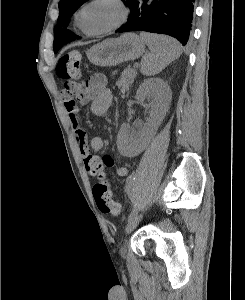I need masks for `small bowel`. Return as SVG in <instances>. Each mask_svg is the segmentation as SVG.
Here are the masks:
<instances>
[{
    "label": "small bowel",
    "mask_w": 245,
    "mask_h": 300,
    "mask_svg": "<svg viewBox=\"0 0 245 300\" xmlns=\"http://www.w3.org/2000/svg\"><path fill=\"white\" fill-rule=\"evenodd\" d=\"M77 98L81 104L91 102V111L97 116L104 115L113 104V94L108 87L107 78L103 74L92 75L78 92ZM64 106L83 157L85 168L91 175L99 177L98 181L93 183V190H110V181L106 177L104 169L114 167V159L109 155L98 157L92 154V151L100 152L104 149L105 142L103 138L94 136L89 139L87 131L82 126L78 106L74 99H64ZM115 172L118 177H125L128 174V169L125 166H118Z\"/></svg>",
    "instance_id": "1"
}]
</instances>
